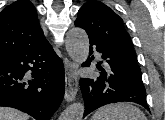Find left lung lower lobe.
<instances>
[{
    "mask_svg": "<svg viewBox=\"0 0 165 120\" xmlns=\"http://www.w3.org/2000/svg\"><path fill=\"white\" fill-rule=\"evenodd\" d=\"M89 42V55L95 48L101 53L103 60L97 65L96 75L80 79L85 101L84 117L103 105L123 101L138 103L149 110L141 72L125 64L114 51L103 44L92 38H89ZM90 62L89 58L83 66H89Z\"/></svg>",
    "mask_w": 165,
    "mask_h": 120,
    "instance_id": "1",
    "label": "left lung lower lobe"
}]
</instances>
